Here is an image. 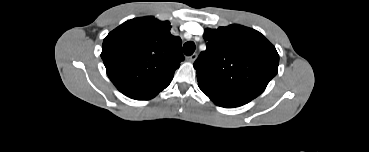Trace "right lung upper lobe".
<instances>
[{"mask_svg": "<svg viewBox=\"0 0 369 152\" xmlns=\"http://www.w3.org/2000/svg\"><path fill=\"white\" fill-rule=\"evenodd\" d=\"M170 28L168 21L147 16L128 20L107 35L101 57L121 93L149 100L171 83L184 56L181 39Z\"/></svg>", "mask_w": 369, "mask_h": 152, "instance_id": "right-lung-upper-lobe-1", "label": "right lung upper lobe"}]
</instances>
